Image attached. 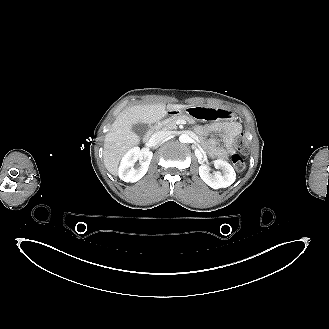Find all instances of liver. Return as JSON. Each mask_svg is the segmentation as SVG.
<instances>
[{"label":"liver","instance_id":"6515ba94","mask_svg":"<svg viewBox=\"0 0 329 329\" xmlns=\"http://www.w3.org/2000/svg\"><path fill=\"white\" fill-rule=\"evenodd\" d=\"M190 107L182 104L164 103L135 105L125 108L113 122L104 142V165L114 176L118 174V165L122 156L133 146L139 144L140 138L132 131V126L139 122L155 123L167 114V111ZM167 109V111H166Z\"/></svg>","mask_w":329,"mask_h":329}]
</instances>
